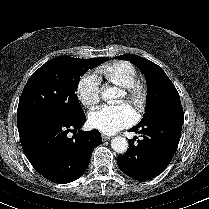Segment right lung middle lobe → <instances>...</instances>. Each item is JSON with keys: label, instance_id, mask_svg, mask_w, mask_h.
<instances>
[{"label": "right lung middle lobe", "instance_id": "dd1d6c3e", "mask_svg": "<svg viewBox=\"0 0 209 209\" xmlns=\"http://www.w3.org/2000/svg\"><path fill=\"white\" fill-rule=\"evenodd\" d=\"M108 58L56 57L36 70L26 83L17 109V127L48 120H66L83 114L76 94L80 77Z\"/></svg>", "mask_w": 209, "mask_h": 209}]
</instances>
